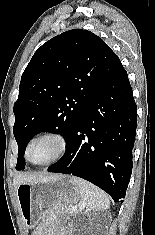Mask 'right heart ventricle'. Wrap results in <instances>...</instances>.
<instances>
[{
    "mask_svg": "<svg viewBox=\"0 0 155 235\" xmlns=\"http://www.w3.org/2000/svg\"><path fill=\"white\" fill-rule=\"evenodd\" d=\"M31 142V140L29 141V143ZM29 143L27 144V146L29 145ZM27 148V147H26Z\"/></svg>",
    "mask_w": 155,
    "mask_h": 235,
    "instance_id": "1",
    "label": "right heart ventricle"
}]
</instances>
